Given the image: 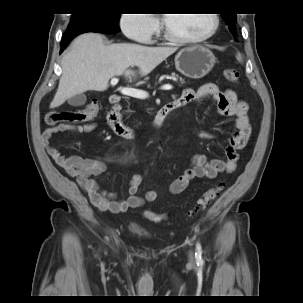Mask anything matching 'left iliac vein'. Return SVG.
<instances>
[{"instance_id":"obj_1","label":"left iliac vein","mask_w":303,"mask_h":303,"mask_svg":"<svg viewBox=\"0 0 303 303\" xmlns=\"http://www.w3.org/2000/svg\"><path fill=\"white\" fill-rule=\"evenodd\" d=\"M190 257H191V260H193V255L192 254L190 255Z\"/></svg>"}]
</instances>
